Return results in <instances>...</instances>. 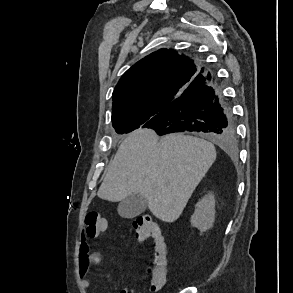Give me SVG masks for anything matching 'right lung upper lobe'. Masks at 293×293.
<instances>
[{
  "label": "right lung upper lobe",
  "instance_id": "1",
  "mask_svg": "<svg viewBox=\"0 0 293 293\" xmlns=\"http://www.w3.org/2000/svg\"><path fill=\"white\" fill-rule=\"evenodd\" d=\"M203 71L174 50L160 49L146 56L128 69L115 87L112 117L146 108L154 111L153 117L158 115Z\"/></svg>",
  "mask_w": 293,
  "mask_h": 293
}]
</instances>
